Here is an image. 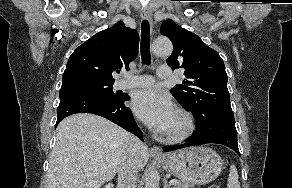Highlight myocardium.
Listing matches in <instances>:
<instances>
[{"label": "myocardium", "mask_w": 292, "mask_h": 188, "mask_svg": "<svg viewBox=\"0 0 292 188\" xmlns=\"http://www.w3.org/2000/svg\"><path fill=\"white\" fill-rule=\"evenodd\" d=\"M177 114L183 121V127L179 131L166 133L165 140L170 143H179L189 138L195 131V122L192 115L185 110H178Z\"/></svg>", "instance_id": "f54148a6"}]
</instances>
